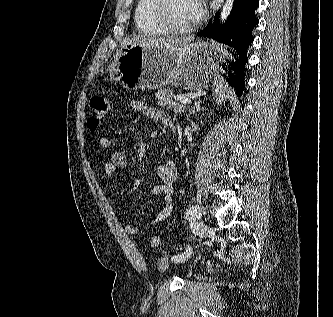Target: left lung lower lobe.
<instances>
[{
    "label": "left lung lower lobe",
    "mask_w": 333,
    "mask_h": 317,
    "mask_svg": "<svg viewBox=\"0 0 333 317\" xmlns=\"http://www.w3.org/2000/svg\"><path fill=\"white\" fill-rule=\"evenodd\" d=\"M258 5L259 0H235L231 14L223 25H220L216 14L214 22L210 20L197 33L198 36L213 38L233 48V57L222 66L227 72L226 81L236 89L239 96L244 89V67L248 60L246 52L253 42L252 30L259 23L255 15Z\"/></svg>",
    "instance_id": "obj_1"
}]
</instances>
